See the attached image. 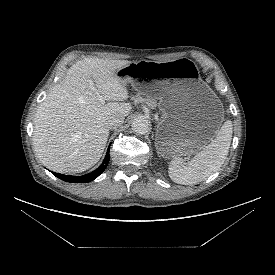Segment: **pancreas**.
I'll use <instances>...</instances> for the list:
<instances>
[{"instance_id": "obj_1", "label": "pancreas", "mask_w": 275, "mask_h": 275, "mask_svg": "<svg viewBox=\"0 0 275 275\" xmlns=\"http://www.w3.org/2000/svg\"><path fill=\"white\" fill-rule=\"evenodd\" d=\"M135 103H145L147 104L150 108H155L156 107V102L153 99L150 98H143L140 95H136L133 97Z\"/></svg>"}]
</instances>
